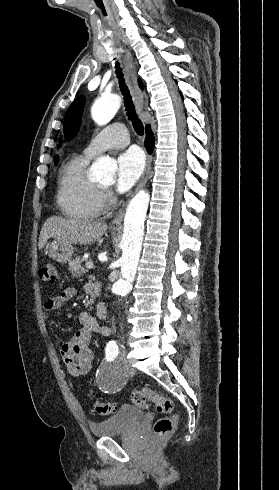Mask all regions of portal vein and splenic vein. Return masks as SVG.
I'll return each mask as SVG.
<instances>
[{
  "label": "portal vein and splenic vein",
  "mask_w": 279,
  "mask_h": 490,
  "mask_svg": "<svg viewBox=\"0 0 279 490\" xmlns=\"http://www.w3.org/2000/svg\"><path fill=\"white\" fill-rule=\"evenodd\" d=\"M85 266L88 270H91V268H93V262H86Z\"/></svg>",
  "instance_id": "18ae733b"
}]
</instances>
